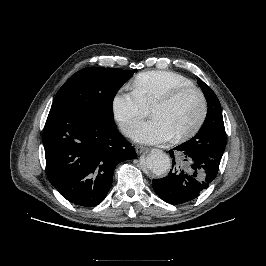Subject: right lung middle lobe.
<instances>
[{"mask_svg": "<svg viewBox=\"0 0 266 266\" xmlns=\"http://www.w3.org/2000/svg\"><path fill=\"white\" fill-rule=\"evenodd\" d=\"M132 72L118 68L89 67L73 74L59 89L51 109L90 113L114 121L112 101Z\"/></svg>", "mask_w": 266, "mask_h": 266, "instance_id": "right-lung-middle-lobe-1", "label": "right lung middle lobe"}]
</instances>
